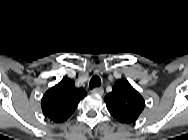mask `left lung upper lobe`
I'll return each instance as SVG.
<instances>
[{
    "mask_svg": "<svg viewBox=\"0 0 188 140\" xmlns=\"http://www.w3.org/2000/svg\"><path fill=\"white\" fill-rule=\"evenodd\" d=\"M104 101L110 114L126 124L136 121L145 107L143 97L126 79L117 80Z\"/></svg>",
    "mask_w": 188,
    "mask_h": 140,
    "instance_id": "1",
    "label": "left lung upper lobe"
}]
</instances>
